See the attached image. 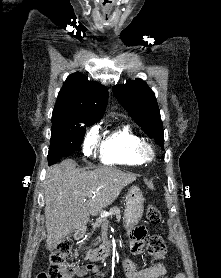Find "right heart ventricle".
Returning a JSON list of instances; mask_svg holds the SVG:
<instances>
[{"label": "right heart ventricle", "mask_w": 221, "mask_h": 278, "mask_svg": "<svg viewBox=\"0 0 221 278\" xmlns=\"http://www.w3.org/2000/svg\"><path fill=\"white\" fill-rule=\"evenodd\" d=\"M141 138L129 125H121L107 132L100 143L99 158L107 165H141L135 149Z\"/></svg>", "instance_id": "1"}]
</instances>
